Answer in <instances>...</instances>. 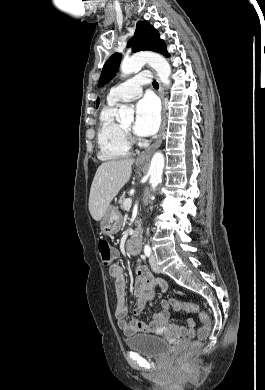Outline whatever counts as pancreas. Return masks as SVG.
<instances>
[{
	"label": "pancreas",
	"instance_id": "1",
	"mask_svg": "<svg viewBox=\"0 0 265 390\" xmlns=\"http://www.w3.org/2000/svg\"><path fill=\"white\" fill-rule=\"evenodd\" d=\"M124 201H125V194H122L119 198V204L122 209L124 208Z\"/></svg>",
	"mask_w": 265,
	"mask_h": 390
}]
</instances>
